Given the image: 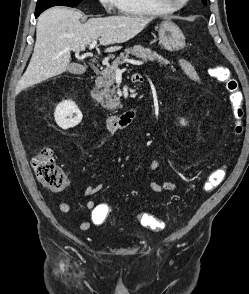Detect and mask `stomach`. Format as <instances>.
<instances>
[{
  "mask_svg": "<svg viewBox=\"0 0 249 294\" xmlns=\"http://www.w3.org/2000/svg\"><path fill=\"white\" fill-rule=\"evenodd\" d=\"M159 43L168 51L183 49L185 37L180 28L171 21H163L158 30Z\"/></svg>",
  "mask_w": 249,
  "mask_h": 294,
  "instance_id": "1",
  "label": "stomach"
}]
</instances>
